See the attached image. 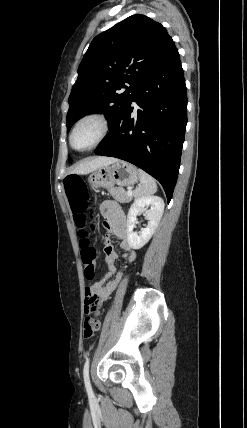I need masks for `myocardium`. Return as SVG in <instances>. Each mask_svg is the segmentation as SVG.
Here are the masks:
<instances>
[{
  "label": "myocardium",
  "instance_id": "f54148a6",
  "mask_svg": "<svg viewBox=\"0 0 247 428\" xmlns=\"http://www.w3.org/2000/svg\"><path fill=\"white\" fill-rule=\"evenodd\" d=\"M86 121H96L100 125L99 135H98L97 139L88 147L77 148L73 143V137H74V134H75L76 130L78 129V127ZM109 131H110V121L104 113L99 112V111H93V112L86 113V114L80 116L75 121L74 125L72 126V129H71L70 134H69L70 146L74 150L79 151V152H86V151L93 150L94 148H96L98 145H100L106 139V137L109 134Z\"/></svg>",
  "mask_w": 247,
  "mask_h": 428
}]
</instances>
